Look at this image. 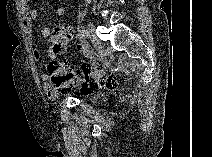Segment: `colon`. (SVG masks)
I'll return each mask as SVG.
<instances>
[{
  "label": "colon",
  "mask_w": 212,
  "mask_h": 157,
  "mask_svg": "<svg viewBox=\"0 0 212 157\" xmlns=\"http://www.w3.org/2000/svg\"><path fill=\"white\" fill-rule=\"evenodd\" d=\"M54 41V53H60L73 38V28L69 25L56 26L51 32ZM89 66L74 71L65 61H54L48 66L51 74V83L63 93L79 91L82 94L93 92L98 87L113 90L116 87L114 76L105 74L100 69Z\"/></svg>",
  "instance_id": "5ec220e1"
}]
</instances>
